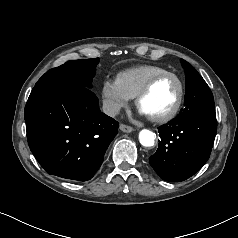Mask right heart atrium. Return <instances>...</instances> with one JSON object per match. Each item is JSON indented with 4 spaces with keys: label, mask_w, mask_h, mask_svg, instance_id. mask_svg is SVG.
I'll return each mask as SVG.
<instances>
[{
    "label": "right heart atrium",
    "mask_w": 238,
    "mask_h": 238,
    "mask_svg": "<svg viewBox=\"0 0 238 238\" xmlns=\"http://www.w3.org/2000/svg\"><path fill=\"white\" fill-rule=\"evenodd\" d=\"M101 95L105 110L111 116L117 115L130 100L116 79L104 80L101 87Z\"/></svg>",
    "instance_id": "right-heart-atrium-1"
}]
</instances>
